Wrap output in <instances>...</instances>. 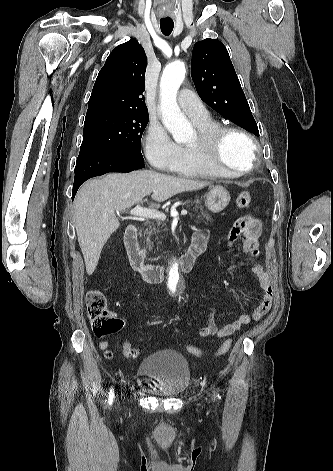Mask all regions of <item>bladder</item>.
Listing matches in <instances>:
<instances>
[{"label": "bladder", "instance_id": "bladder-1", "mask_svg": "<svg viewBox=\"0 0 333 471\" xmlns=\"http://www.w3.org/2000/svg\"><path fill=\"white\" fill-rule=\"evenodd\" d=\"M140 378L156 382V393L164 397H176L187 390L191 381L188 361L179 352L158 350L145 357L138 366Z\"/></svg>", "mask_w": 333, "mask_h": 471}]
</instances>
